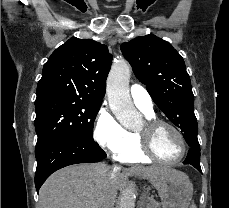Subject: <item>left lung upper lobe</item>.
Listing matches in <instances>:
<instances>
[{"label": "left lung upper lobe", "mask_w": 229, "mask_h": 208, "mask_svg": "<svg viewBox=\"0 0 229 208\" xmlns=\"http://www.w3.org/2000/svg\"><path fill=\"white\" fill-rule=\"evenodd\" d=\"M136 77L162 112L182 133L198 132L194 95L183 58L155 35L136 37L121 45Z\"/></svg>", "instance_id": "1"}]
</instances>
